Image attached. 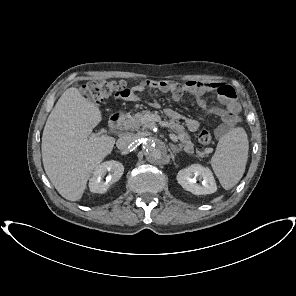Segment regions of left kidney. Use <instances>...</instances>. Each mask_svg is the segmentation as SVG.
I'll return each mask as SVG.
<instances>
[{
	"label": "left kidney",
	"instance_id": "5707ae66",
	"mask_svg": "<svg viewBox=\"0 0 296 296\" xmlns=\"http://www.w3.org/2000/svg\"><path fill=\"white\" fill-rule=\"evenodd\" d=\"M198 177L203 179L201 184L196 182ZM177 181L185 190L195 195L212 194L217 190L212 172L200 164H192L180 170L177 174Z\"/></svg>",
	"mask_w": 296,
	"mask_h": 296
}]
</instances>
